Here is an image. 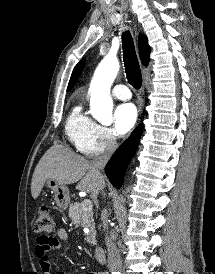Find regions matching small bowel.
<instances>
[{"mask_svg":"<svg viewBox=\"0 0 215 274\" xmlns=\"http://www.w3.org/2000/svg\"><path fill=\"white\" fill-rule=\"evenodd\" d=\"M68 240V233L65 229H58L56 237L39 236L36 241L35 255L39 261L40 268L44 274H50L51 260L50 252L61 248V242ZM56 274H66L64 272H57ZM87 274H105L103 272H88Z\"/></svg>","mask_w":215,"mask_h":274,"instance_id":"obj_1","label":"small bowel"}]
</instances>
